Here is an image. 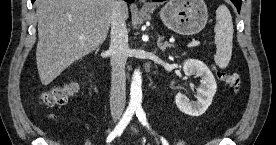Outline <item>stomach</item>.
Returning <instances> with one entry per match:
<instances>
[{"label":"stomach","mask_w":276,"mask_h":145,"mask_svg":"<svg viewBox=\"0 0 276 145\" xmlns=\"http://www.w3.org/2000/svg\"><path fill=\"white\" fill-rule=\"evenodd\" d=\"M159 14L166 27L181 35L199 33L208 20L203 0H170Z\"/></svg>","instance_id":"obj_1"}]
</instances>
